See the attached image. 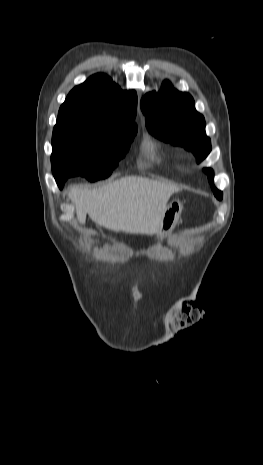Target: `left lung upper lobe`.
I'll return each instance as SVG.
<instances>
[{"label": "left lung upper lobe", "instance_id": "1", "mask_svg": "<svg viewBox=\"0 0 263 465\" xmlns=\"http://www.w3.org/2000/svg\"><path fill=\"white\" fill-rule=\"evenodd\" d=\"M141 109L148 130L159 139L192 151L198 163L210 153L211 142L205 133L204 117L196 111L190 94L177 91L165 81L158 93L153 91L142 98ZM208 178L212 181L213 175L208 174ZM212 190L221 200L222 192L214 185Z\"/></svg>", "mask_w": 263, "mask_h": 465}]
</instances>
